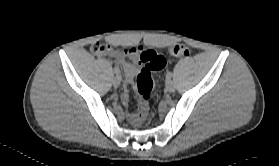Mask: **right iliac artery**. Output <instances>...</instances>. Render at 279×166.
Masks as SVG:
<instances>
[{
	"mask_svg": "<svg viewBox=\"0 0 279 166\" xmlns=\"http://www.w3.org/2000/svg\"><path fill=\"white\" fill-rule=\"evenodd\" d=\"M114 73H115L116 75H118V74L120 73V70H119L118 67H114Z\"/></svg>",
	"mask_w": 279,
	"mask_h": 166,
	"instance_id": "82829eb1",
	"label": "right iliac artery"
}]
</instances>
